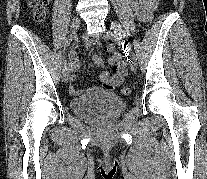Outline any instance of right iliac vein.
Masks as SVG:
<instances>
[{
	"label": "right iliac vein",
	"instance_id": "1",
	"mask_svg": "<svg viewBox=\"0 0 207 179\" xmlns=\"http://www.w3.org/2000/svg\"><path fill=\"white\" fill-rule=\"evenodd\" d=\"M79 27H80V19H79V17H74L73 20H72V23H71V27H70L69 39L72 40V39L75 38ZM69 79H70V72L67 68V69L62 71V81L64 83H67L69 81Z\"/></svg>",
	"mask_w": 207,
	"mask_h": 179
}]
</instances>
